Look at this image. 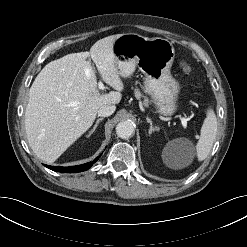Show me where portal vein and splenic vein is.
<instances>
[{
    "mask_svg": "<svg viewBox=\"0 0 247 247\" xmlns=\"http://www.w3.org/2000/svg\"><path fill=\"white\" fill-rule=\"evenodd\" d=\"M98 88L100 90H104L105 89V86H104L102 81L98 82ZM180 120H181V123H182L183 127L186 128L187 127V119L185 117H180Z\"/></svg>",
    "mask_w": 247,
    "mask_h": 247,
    "instance_id": "obj_1",
    "label": "portal vein and splenic vein"
}]
</instances>
